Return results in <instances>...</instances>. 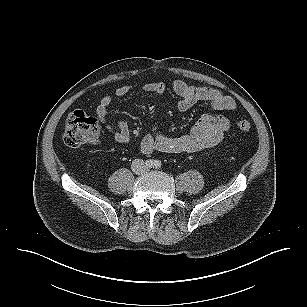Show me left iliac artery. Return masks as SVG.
Returning a JSON list of instances; mask_svg holds the SVG:
<instances>
[{
    "label": "left iliac artery",
    "instance_id": "1",
    "mask_svg": "<svg viewBox=\"0 0 307 307\" xmlns=\"http://www.w3.org/2000/svg\"><path fill=\"white\" fill-rule=\"evenodd\" d=\"M161 161H159V160H155L154 161V167L156 168V169H159L160 167H161Z\"/></svg>",
    "mask_w": 307,
    "mask_h": 307
}]
</instances>
